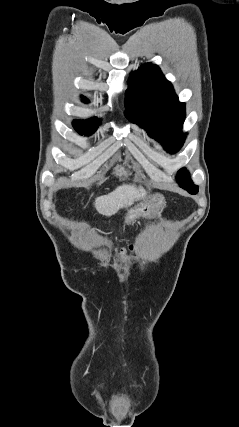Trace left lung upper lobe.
I'll use <instances>...</instances> for the list:
<instances>
[{
	"label": "left lung upper lobe",
	"mask_w": 239,
	"mask_h": 427,
	"mask_svg": "<svg viewBox=\"0 0 239 427\" xmlns=\"http://www.w3.org/2000/svg\"><path fill=\"white\" fill-rule=\"evenodd\" d=\"M125 95V116L160 141L165 150L177 152L185 140L181 135L185 104L178 101L160 68L148 63L133 72ZM177 180L188 192L198 190L185 168L178 172Z\"/></svg>",
	"instance_id": "left-lung-upper-lobe-1"
}]
</instances>
